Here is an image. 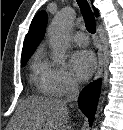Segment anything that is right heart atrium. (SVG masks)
I'll return each instance as SVG.
<instances>
[{"label": "right heart atrium", "mask_w": 123, "mask_h": 130, "mask_svg": "<svg viewBox=\"0 0 123 130\" xmlns=\"http://www.w3.org/2000/svg\"><path fill=\"white\" fill-rule=\"evenodd\" d=\"M47 75L54 96H65L77 88V83L64 63L48 61Z\"/></svg>", "instance_id": "d8ad5b80"}]
</instances>
